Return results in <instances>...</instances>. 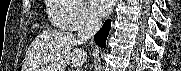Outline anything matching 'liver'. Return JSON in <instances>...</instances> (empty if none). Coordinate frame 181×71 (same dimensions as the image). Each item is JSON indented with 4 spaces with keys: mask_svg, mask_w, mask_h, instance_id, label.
Listing matches in <instances>:
<instances>
[{
    "mask_svg": "<svg viewBox=\"0 0 181 71\" xmlns=\"http://www.w3.org/2000/svg\"><path fill=\"white\" fill-rule=\"evenodd\" d=\"M80 43L68 32L52 31L39 34L26 52L22 71H64L82 66L87 53L75 47Z\"/></svg>",
    "mask_w": 181,
    "mask_h": 71,
    "instance_id": "liver-1",
    "label": "liver"
}]
</instances>
